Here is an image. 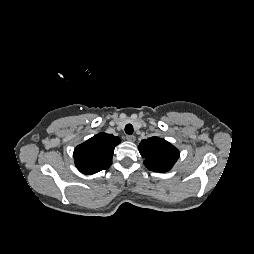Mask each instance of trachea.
<instances>
[{"mask_svg":"<svg viewBox=\"0 0 254 254\" xmlns=\"http://www.w3.org/2000/svg\"><path fill=\"white\" fill-rule=\"evenodd\" d=\"M125 132L126 134L131 135L133 133V126L131 124H127L125 126Z\"/></svg>","mask_w":254,"mask_h":254,"instance_id":"1","label":"trachea"}]
</instances>
